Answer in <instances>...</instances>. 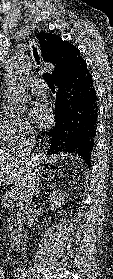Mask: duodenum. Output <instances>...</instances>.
Here are the masks:
<instances>
[{"label": "duodenum", "mask_w": 113, "mask_h": 279, "mask_svg": "<svg viewBox=\"0 0 113 279\" xmlns=\"http://www.w3.org/2000/svg\"><path fill=\"white\" fill-rule=\"evenodd\" d=\"M21 234H22L21 226H15L10 233L11 243L16 245L21 239Z\"/></svg>", "instance_id": "obj_1"}]
</instances>
